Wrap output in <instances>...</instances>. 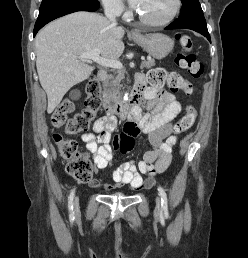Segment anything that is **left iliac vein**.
Listing matches in <instances>:
<instances>
[{
	"mask_svg": "<svg viewBox=\"0 0 248 258\" xmlns=\"http://www.w3.org/2000/svg\"><path fill=\"white\" fill-rule=\"evenodd\" d=\"M161 209V199L159 196L156 197V211L159 212Z\"/></svg>",
	"mask_w": 248,
	"mask_h": 258,
	"instance_id": "1",
	"label": "left iliac vein"
}]
</instances>
